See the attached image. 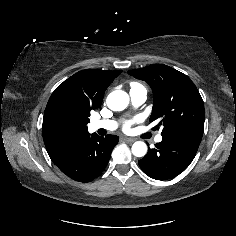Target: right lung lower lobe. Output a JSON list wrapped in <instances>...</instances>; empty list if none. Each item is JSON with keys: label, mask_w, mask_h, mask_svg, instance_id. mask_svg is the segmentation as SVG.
Instances as JSON below:
<instances>
[{"label": "right lung lower lobe", "mask_w": 236, "mask_h": 236, "mask_svg": "<svg viewBox=\"0 0 236 236\" xmlns=\"http://www.w3.org/2000/svg\"><path fill=\"white\" fill-rule=\"evenodd\" d=\"M119 137L96 134L73 143L62 151L53 163L68 177L79 182H89L99 176L108 164Z\"/></svg>", "instance_id": "1"}]
</instances>
